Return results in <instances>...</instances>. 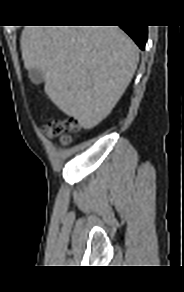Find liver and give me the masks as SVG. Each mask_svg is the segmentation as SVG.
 Listing matches in <instances>:
<instances>
[{
  "label": "liver",
  "instance_id": "obj_1",
  "mask_svg": "<svg viewBox=\"0 0 184 292\" xmlns=\"http://www.w3.org/2000/svg\"><path fill=\"white\" fill-rule=\"evenodd\" d=\"M21 51L25 68L44 74L49 99L84 129L109 115L139 60L118 26H26Z\"/></svg>",
  "mask_w": 184,
  "mask_h": 292
}]
</instances>
